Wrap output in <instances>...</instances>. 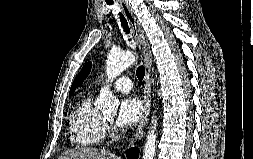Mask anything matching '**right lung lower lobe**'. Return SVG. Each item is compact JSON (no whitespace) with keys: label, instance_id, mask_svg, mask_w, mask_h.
Masks as SVG:
<instances>
[{"label":"right lung lower lobe","instance_id":"obj_1","mask_svg":"<svg viewBox=\"0 0 253 159\" xmlns=\"http://www.w3.org/2000/svg\"><path fill=\"white\" fill-rule=\"evenodd\" d=\"M139 155V151L136 148H131L126 153L127 159H137Z\"/></svg>","mask_w":253,"mask_h":159}]
</instances>
